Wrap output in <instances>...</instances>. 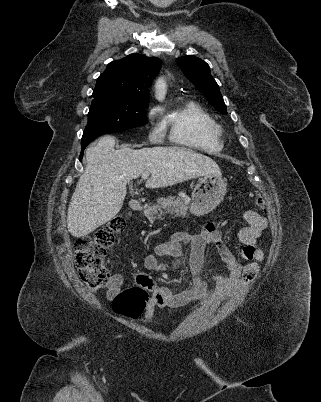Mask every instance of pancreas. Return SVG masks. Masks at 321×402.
<instances>
[{"instance_id": "1", "label": "pancreas", "mask_w": 321, "mask_h": 402, "mask_svg": "<svg viewBox=\"0 0 321 402\" xmlns=\"http://www.w3.org/2000/svg\"><path fill=\"white\" fill-rule=\"evenodd\" d=\"M190 203L189 198L183 197H172L168 196L167 198H159L157 199V203L152 206H147L145 208L144 214L149 219H156L160 216L171 213L177 217H186L188 205Z\"/></svg>"}]
</instances>
